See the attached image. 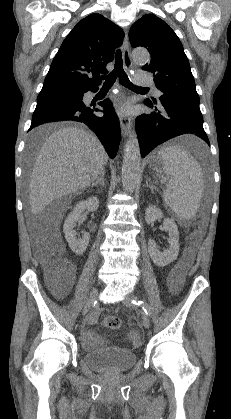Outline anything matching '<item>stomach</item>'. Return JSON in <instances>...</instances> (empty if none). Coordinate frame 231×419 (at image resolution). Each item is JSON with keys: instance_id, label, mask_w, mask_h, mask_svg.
Instances as JSON below:
<instances>
[{"instance_id": "1", "label": "stomach", "mask_w": 231, "mask_h": 419, "mask_svg": "<svg viewBox=\"0 0 231 419\" xmlns=\"http://www.w3.org/2000/svg\"><path fill=\"white\" fill-rule=\"evenodd\" d=\"M149 162L150 163H153L154 162V158H150Z\"/></svg>"}]
</instances>
